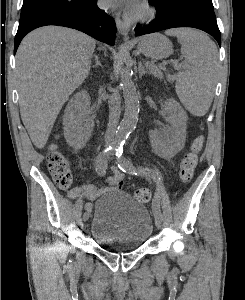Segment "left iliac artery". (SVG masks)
<instances>
[{
    "label": "left iliac artery",
    "instance_id": "obj_1",
    "mask_svg": "<svg viewBox=\"0 0 245 300\" xmlns=\"http://www.w3.org/2000/svg\"><path fill=\"white\" fill-rule=\"evenodd\" d=\"M115 155H116L118 167L123 172L133 174V175H147L148 174L155 181L158 182L160 180V177L158 176V174L151 172L148 169H143V168L136 169L134 167V165L123 155L122 146H118L115 149ZM161 200H162V197L159 194L154 197V200L152 202V210H153V213L155 216L162 218L163 216H162V213L159 208V204L161 203Z\"/></svg>",
    "mask_w": 245,
    "mask_h": 300
}]
</instances>
